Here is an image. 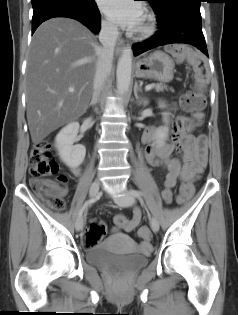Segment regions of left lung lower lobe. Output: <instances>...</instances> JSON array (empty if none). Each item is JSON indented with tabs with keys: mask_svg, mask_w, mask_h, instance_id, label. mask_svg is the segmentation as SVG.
Here are the masks:
<instances>
[{
	"mask_svg": "<svg viewBox=\"0 0 238 315\" xmlns=\"http://www.w3.org/2000/svg\"><path fill=\"white\" fill-rule=\"evenodd\" d=\"M200 3L201 0H180L154 11L159 31L145 42L133 45L134 55L161 45L187 43L208 56L202 32Z\"/></svg>",
	"mask_w": 238,
	"mask_h": 315,
	"instance_id": "obj_1",
	"label": "left lung lower lobe"
}]
</instances>
